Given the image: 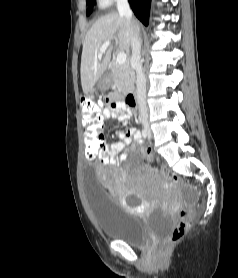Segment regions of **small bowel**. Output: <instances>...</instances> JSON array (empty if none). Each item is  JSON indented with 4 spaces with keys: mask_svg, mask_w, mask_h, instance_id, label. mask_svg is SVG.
<instances>
[{
    "mask_svg": "<svg viewBox=\"0 0 238 278\" xmlns=\"http://www.w3.org/2000/svg\"><path fill=\"white\" fill-rule=\"evenodd\" d=\"M131 116L132 111L129 109L127 104L118 100L116 97H112L110 104L102 111L101 117L103 118V127L106 120L110 118L127 121L131 118ZM116 138L117 141L115 143H108L104 140L105 145L103 146L101 155L97 156V159L104 165L117 163V160L109 155V151L120 150L132 142L137 144L142 142L141 134L135 128H127L123 131L116 132ZM122 157L124 158L125 154H123Z\"/></svg>",
    "mask_w": 238,
    "mask_h": 278,
    "instance_id": "c3829d8e",
    "label": "small bowel"
}]
</instances>
